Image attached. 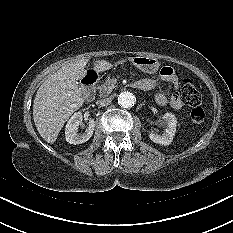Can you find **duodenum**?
Masks as SVG:
<instances>
[{"mask_svg":"<svg viewBox=\"0 0 233 233\" xmlns=\"http://www.w3.org/2000/svg\"><path fill=\"white\" fill-rule=\"evenodd\" d=\"M97 81H98V75L94 72L87 73L82 79L84 95H85V98L89 101L94 98L95 87H96ZM123 86L129 87L130 81L124 80ZM133 87L140 89V90H146V85L142 80L134 82Z\"/></svg>","mask_w":233,"mask_h":233,"instance_id":"duodenum-1","label":"duodenum"}]
</instances>
